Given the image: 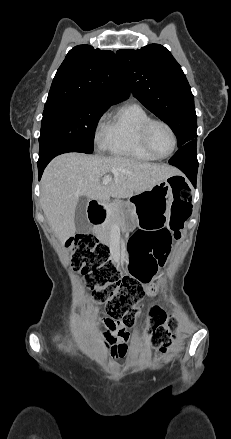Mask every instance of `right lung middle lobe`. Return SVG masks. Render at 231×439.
Wrapping results in <instances>:
<instances>
[{
  "mask_svg": "<svg viewBox=\"0 0 231 439\" xmlns=\"http://www.w3.org/2000/svg\"><path fill=\"white\" fill-rule=\"evenodd\" d=\"M110 106L70 101L45 105L39 137V158H45L59 147H72L91 154L94 134L102 114Z\"/></svg>",
  "mask_w": 231,
  "mask_h": 439,
  "instance_id": "right-lung-middle-lobe-1",
  "label": "right lung middle lobe"
}]
</instances>
